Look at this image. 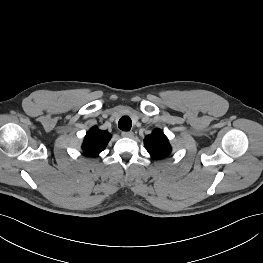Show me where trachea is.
<instances>
[{
    "label": "trachea",
    "instance_id": "1",
    "mask_svg": "<svg viewBox=\"0 0 263 263\" xmlns=\"http://www.w3.org/2000/svg\"><path fill=\"white\" fill-rule=\"evenodd\" d=\"M132 126V121L128 116H123L118 122V127L123 131H129Z\"/></svg>",
    "mask_w": 263,
    "mask_h": 263
}]
</instances>
